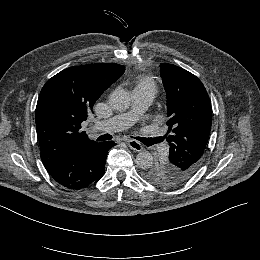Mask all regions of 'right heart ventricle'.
<instances>
[{"label":"right heart ventricle","mask_w":260,"mask_h":260,"mask_svg":"<svg viewBox=\"0 0 260 260\" xmlns=\"http://www.w3.org/2000/svg\"><path fill=\"white\" fill-rule=\"evenodd\" d=\"M147 92L153 94L156 91V85L150 77L143 73H136L132 84V92Z\"/></svg>","instance_id":"right-heart-ventricle-1"}]
</instances>
